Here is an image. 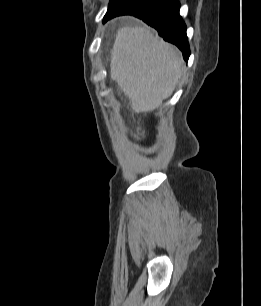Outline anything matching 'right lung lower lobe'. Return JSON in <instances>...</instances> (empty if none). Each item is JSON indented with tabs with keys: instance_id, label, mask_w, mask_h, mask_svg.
<instances>
[{
	"instance_id": "98d812e1",
	"label": "right lung lower lobe",
	"mask_w": 261,
	"mask_h": 306,
	"mask_svg": "<svg viewBox=\"0 0 261 306\" xmlns=\"http://www.w3.org/2000/svg\"><path fill=\"white\" fill-rule=\"evenodd\" d=\"M178 0H131L120 9L107 13L104 22L120 15H133L154 27L164 40L175 44L188 60L190 49L186 26L179 15Z\"/></svg>"
}]
</instances>
